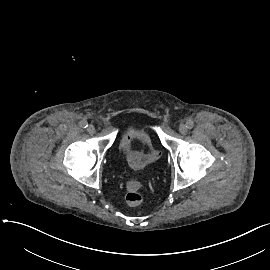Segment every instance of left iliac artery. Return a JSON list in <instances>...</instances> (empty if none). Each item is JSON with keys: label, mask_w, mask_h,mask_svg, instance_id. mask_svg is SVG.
I'll return each mask as SVG.
<instances>
[{"label": "left iliac artery", "mask_w": 270, "mask_h": 270, "mask_svg": "<svg viewBox=\"0 0 270 270\" xmlns=\"http://www.w3.org/2000/svg\"><path fill=\"white\" fill-rule=\"evenodd\" d=\"M186 126H187L188 129H192L193 126H194V122L192 120H188L186 122Z\"/></svg>", "instance_id": "obj_1"}]
</instances>
